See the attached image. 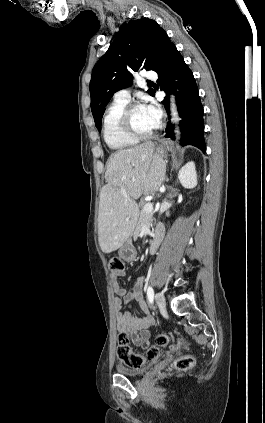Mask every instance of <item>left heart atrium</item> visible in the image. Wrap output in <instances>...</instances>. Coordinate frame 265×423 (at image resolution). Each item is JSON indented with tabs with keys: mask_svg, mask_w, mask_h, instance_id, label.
Listing matches in <instances>:
<instances>
[{
	"mask_svg": "<svg viewBox=\"0 0 265 423\" xmlns=\"http://www.w3.org/2000/svg\"><path fill=\"white\" fill-rule=\"evenodd\" d=\"M143 107H144L146 113L152 119V121L156 125H158L159 122H160V119H161V111H160L159 107L153 102H150Z\"/></svg>",
	"mask_w": 265,
	"mask_h": 423,
	"instance_id": "left-heart-atrium-1",
	"label": "left heart atrium"
}]
</instances>
